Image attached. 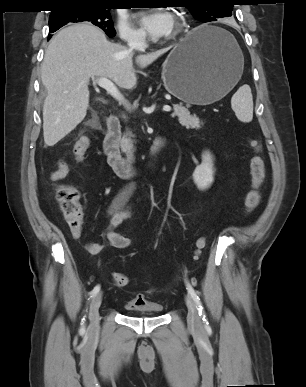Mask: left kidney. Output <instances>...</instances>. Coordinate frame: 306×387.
Returning <instances> with one entry per match:
<instances>
[{
    "label": "left kidney",
    "mask_w": 306,
    "mask_h": 387,
    "mask_svg": "<svg viewBox=\"0 0 306 387\" xmlns=\"http://www.w3.org/2000/svg\"><path fill=\"white\" fill-rule=\"evenodd\" d=\"M214 168L212 156L208 152L202 154V163L193 172V179L199 189L208 188L213 180Z\"/></svg>",
    "instance_id": "5707ae66"
}]
</instances>
